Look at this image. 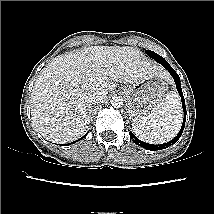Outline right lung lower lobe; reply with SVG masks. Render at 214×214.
<instances>
[{"instance_id":"obj_1","label":"right lung lower lobe","mask_w":214,"mask_h":214,"mask_svg":"<svg viewBox=\"0 0 214 214\" xmlns=\"http://www.w3.org/2000/svg\"><path fill=\"white\" fill-rule=\"evenodd\" d=\"M87 134H88V133H87ZM87 134H86V135H87ZM86 135H85V136H86ZM85 136H83L82 138H84ZM82 138H81V139H82ZM77 141H78V140H77ZM77 141H76V142H77ZM66 145H69V144H66Z\"/></svg>"}]
</instances>
